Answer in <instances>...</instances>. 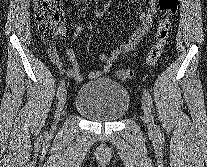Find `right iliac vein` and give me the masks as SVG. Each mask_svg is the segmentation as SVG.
I'll return each mask as SVG.
<instances>
[{"instance_id":"1","label":"right iliac vein","mask_w":207,"mask_h":167,"mask_svg":"<svg viewBox=\"0 0 207 167\" xmlns=\"http://www.w3.org/2000/svg\"><path fill=\"white\" fill-rule=\"evenodd\" d=\"M66 99H67V92L64 89V91L61 93V95L59 96V99H58L57 109H56V112H55L54 121H53V125H52L53 130L56 128V125L58 123L60 114H61V112L64 108V105L66 103Z\"/></svg>"}]
</instances>
